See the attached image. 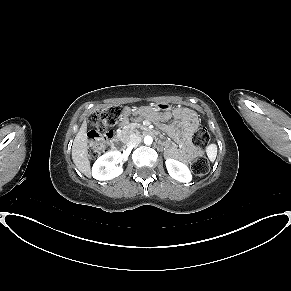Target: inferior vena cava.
<instances>
[{
	"label": "inferior vena cava",
	"instance_id": "602c4592",
	"mask_svg": "<svg viewBox=\"0 0 291 291\" xmlns=\"http://www.w3.org/2000/svg\"><path fill=\"white\" fill-rule=\"evenodd\" d=\"M139 142H141V137L134 136L129 140V142L127 143V146L128 147H135Z\"/></svg>",
	"mask_w": 291,
	"mask_h": 291
}]
</instances>
